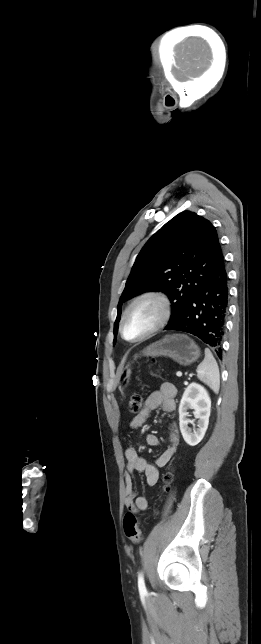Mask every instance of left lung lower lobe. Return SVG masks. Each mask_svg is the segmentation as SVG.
Instances as JSON below:
<instances>
[{"mask_svg":"<svg viewBox=\"0 0 261 644\" xmlns=\"http://www.w3.org/2000/svg\"><path fill=\"white\" fill-rule=\"evenodd\" d=\"M224 256L206 277L182 314L165 330L191 333L214 348L219 358L228 310L229 288Z\"/></svg>","mask_w":261,"mask_h":644,"instance_id":"left-lung-lower-lobe-1","label":"left lung lower lobe"}]
</instances>
